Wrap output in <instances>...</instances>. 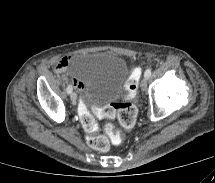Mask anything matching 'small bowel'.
Listing matches in <instances>:
<instances>
[{
  "mask_svg": "<svg viewBox=\"0 0 215 183\" xmlns=\"http://www.w3.org/2000/svg\"><path fill=\"white\" fill-rule=\"evenodd\" d=\"M71 59H72V57H70V56L63 57L62 59H60V60L56 63V65H55V71H56V72H62V71H64V70L68 67V65L70 64ZM140 74H141V69L138 68V67H135V68L133 69V75H134L136 78H138V77L140 76ZM73 82H74V86H75L79 91H83V89H84V84H83V82H82L81 80H79V79H74Z\"/></svg>",
  "mask_w": 215,
  "mask_h": 183,
  "instance_id": "obj_1",
  "label": "small bowel"
}]
</instances>
